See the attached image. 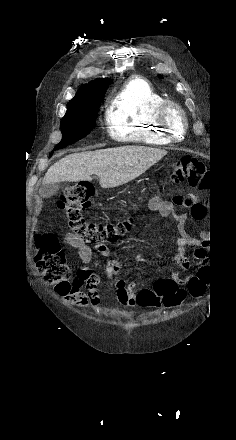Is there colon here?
<instances>
[{"label":"colon","mask_w":236,"mask_h":440,"mask_svg":"<svg viewBox=\"0 0 236 440\" xmlns=\"http://www.w3.org/2000/svg\"><path fill=\"white\" fill-rule=\"evenodd\" d=\"M208 170L205 164L192 156H183L172 165L169 182L178 184L186 181L194 188L204 189L208 184ZM93 188L90 183H80L65 188L58 200V206L66 214L67 226L72 235L81 241L92 244H110L123 236L131 227L128 218L115 223L88 221L83 214L89 208ZM38 253L35 263L46 283L52 285L61 295L71 291L69 267L66 263L58 238L51 233L38 236ZM192 278L187 290L193 297H201L206 285L211 282L208 276L200 274ZM187 291L173 280H158L154 289H145L139 296V305L145 307L160 301L165 307H176L186 298Z\"/></svg>","instance_id":"obj_1"}]
</instances>
